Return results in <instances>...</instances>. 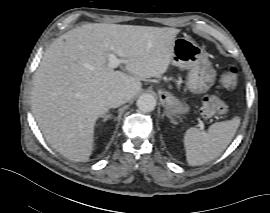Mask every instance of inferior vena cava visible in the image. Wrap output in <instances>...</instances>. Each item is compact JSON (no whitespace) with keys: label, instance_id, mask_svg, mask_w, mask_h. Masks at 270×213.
I'll list each match as a JSON object with an SVG mask.
<instances>
[{"label":"inferior vena cava","instance_id":"obj_1","mask_svg":"<svg viewBox=\"0 0 270 213\" xmlns=\"http://www.w3.org/2000/svg\"><path fill=\"white\" fill-rule=\"evenodd\" d=\"M108 100L111 107H118L127 102V98L124 92L120 90H114L110 93Z\"/></svg>","mask_w":270,"mask_h":213}]
</instances>
